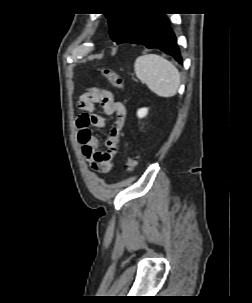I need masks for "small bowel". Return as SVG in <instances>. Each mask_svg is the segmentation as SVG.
<instances>
[{
	"label": "small bowel",
	"instance_id": "c3829d8e",
	"mask_svg": "<svg viewBox=\"0 0 252 303\" xmlns=\"http://www.w3.org/2000/svg\"><path fill=\"white\" fill-rule=\"evenodd\" d=\"M100 107L107 115H114L115 120L104 141L106 150H99V140L94 129L105 126V120L96 114ZM79 108L83 112L77 122L78 141L85 159L91 168L100 173H108L114 167V157L119 149L122 127L126 119V110L122 103L114 101L110 91L88 88L81 96Z\"/></svg>",
	"mask_w": 252,
	"mask_h": 303
}]
</instances>
